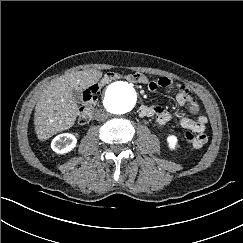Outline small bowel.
Listing matches in <instances>:
<instances>
[{
	"label": "small bowel",
	"mask_w": 243,
	"mask_h": 243,
	"mask_svg": "<svg viewBox=\"0 0 243 243\" xmlns=\"http://www.w3.org/2000/svg\"><path fill=\"white\" fill-rule=\"evenodd\" d=\"M158 88H162L167 91L177 90V103L179 105H187L191 113L197 114V118L195 120L188 117L180 118L179 124L182 128L196 133L198 141L193 144V146L195 148H201L207 142V136L204 132L206 130L208 119L205 115L198 114L199 105L194 97L190 94L188 88L185 85L174 82L166 77H161L158 80L148 83V89L150 91H156ZM140 115L145 117L153 116L158 124H165L172 119V114L169 111L160 106L154 105L143 106L140 109Z\"/></svg>",
	"instance_id": "c3829d8e"
}]
</instances>
